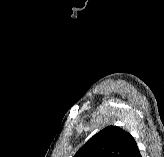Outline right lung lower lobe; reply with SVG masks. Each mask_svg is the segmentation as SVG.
I'll use <instances>...</instances> for the list:
<instances>
[{
	"label": "right lung lower lobe",
	"mask_w": 164,
	"mask_h": 157,
	"mask_svg": "<svg viewBox=\"0 0 164 157\" xmlns=\"http://www.w3.org/2000/svg\"><path fill=\"white\" fill-rule=\"evenodd\" d=\"M129 157H141L140 151L138 149V147H136L133 152L130 154Z\"/></svg>",
	"instance_id": "98d812e1"
}]
</instances>
